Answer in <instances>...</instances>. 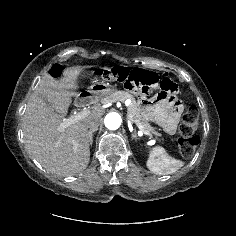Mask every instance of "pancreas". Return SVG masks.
Listing matches in <instances>:
<instances>
[{
    "label": "pancreas",
    "mask_w": 236,
    "mask_h": 236,
    "mask_svg": "<svg viewBox=\"0 0 236 236\" xmlns=\"http://www.w3.org/2000/svg\"><path fill=\"white\" fill-rule=\"evenodd\" d=\"M106 99L109 100V101H121V102L126 101V99H131L132 102L128 107V118L131 121H134V120L138 121L141 124V126L143 128V131L148 132L150 137H152V135H155L156 138L158 136H161V133H159L156 130V128L151 126L150 123H148V121H146L142 117L141 111H140V106L136 102L133 95H131L128 92H125V91H115L112 94L108 95Z\"/></svg>",
    "instance_id": "obj_1"
}]
</instances>
